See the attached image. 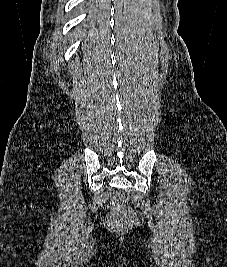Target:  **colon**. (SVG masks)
Listing matches in <instances>:
<instances>
[{
    "instance_id": "1",
    "label": "colon",
    "mask_w": 227,
    "mask_h": 267,
    "mask_svg": "<svg viewBox=\"0 0 227 267\" xmlns=\"http://www.w3.org/2000/svg\"><path fill=\"white\" fill-rule=\"evenodd\" d=\"M138 222L136 213L126 204L123 194L115 193L112 197L108 226L115 232L127 231Z\"/></svg>"
}]
</instances>
